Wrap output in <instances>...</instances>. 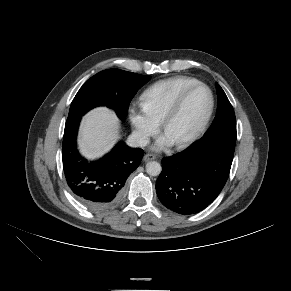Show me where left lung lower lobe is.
Listing matches in <instances>:
<instances>
[{
	"label": "left lung lower lobe",
	"instance_id": "0a47b994",
	"mask_svg": "<svg viewBox=\"0 0 291 291\" xmlns=\"http://www.w3.org/2000/svg\"><path fill=\"white\" fill-rule=\"evenodd\" d=\"M235 144V133L222 132L203 137L190 149L164 158L156 183L161 203L182 215L204 210L227 181Z\"/></svg>",
	"mask_w": 291,
	"mask_h": 291
}]
</instances>
